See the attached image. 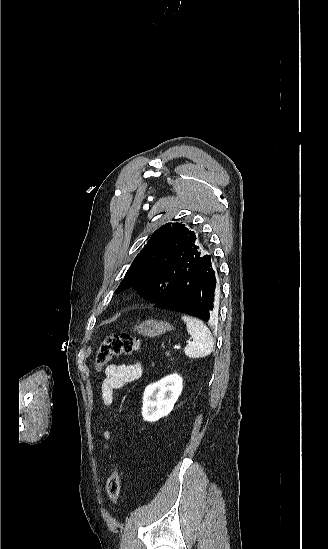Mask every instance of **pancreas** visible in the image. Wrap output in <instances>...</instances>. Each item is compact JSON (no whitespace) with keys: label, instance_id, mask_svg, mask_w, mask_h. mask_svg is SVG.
I'll list each match as a JSON object with an SVG mask.
<instances>
[{"label":"pancreas","instance_id":"pancreas-1","mask_svg":"<svg viewBox=\"0 0 328 549\" xmlns=\"http://www.w3.org/2000/svg\"><path fill=\"white\" fill-rule=\"evenodd\" d=\"M166 355H167V357H169L170 353H166ZM171 361H172V359H171Z\"/></svg>","mask_w":328,"mask_h":549}]
</instances>
